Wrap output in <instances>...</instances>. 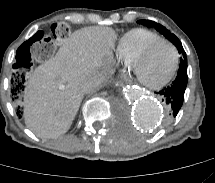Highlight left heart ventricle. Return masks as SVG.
I'll list each match as a JSON object with an SVG mask.
<instances>
[{"mask_svg":"<svg viewBox=\"0 0 215 183\" xmlns=\"http://www.w3.org/2000/svg\"><path fill=\"white\" fill-rule=\"evenodd\" d=\"M175 62L173 49L165 43L155 46L138 65L141 79L148 84L162 82L171 73Z\"/></svg>","mask_w":215,"mask_h":183,"instance_id":"b2bd125f","label":"left heart ventricle"}]
</instances>
